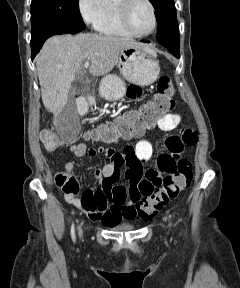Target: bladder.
<instances>
[{"label": "bladder", "instance_id": "obj_1", "mask_svg": "<svg viewBox=\"0 0 240 288\" xmlns=\"http://www.w3.org/2000/svg\"><path fill=\"white\" fill-rule=\"evenodd\" d=\"M110 227L111 229L118 231H132L136 229V227L131 223H121Z\"/></svg>", "mask_w": 240, "mask_h": 288}]
</instances>
